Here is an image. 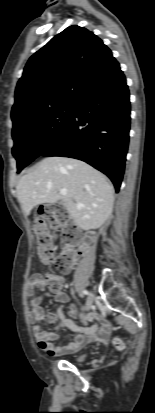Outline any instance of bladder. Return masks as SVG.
Returning <instances> with one entry per match:
<instances>
[{
  "instance_id": "obj_1",
  "label": "bladder",
  "mask_w": 155,
  "mask_h": 413,
  "mask_svg": "<svg viewBox=\"0 0 155 413\" xmlns=\"http://www.w3.org/2000/svg\"><path fill=\"white\" fill-rule=\"evenodd\" d=\"M84 358H85V355H84V354H79V355H76V356L73 358V360H74L75 362H81V361L84 360Z\"/></svg>"
}]
</instances>
